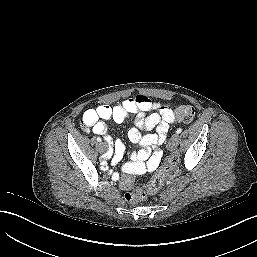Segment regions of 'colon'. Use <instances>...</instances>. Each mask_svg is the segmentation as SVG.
<instances>
[{
	"label": "colon",
	"instance_id": "5ec220e1",
	"mask_svg": "<svg viewBox=\"0 0 257 257\" xmlns=\"http://www.w3.org/2000/svg\"><path fill=\"white\" fill-rule=\"evenodd\" d=\"M175 114L179 122L190 123L195 117V109L190 105H178L175 108ZM177 163L178 159L174 156H170L161 169L152 177L149 183L146 186L144 184L136 185L132 193H127L125 195L126 200L140 201L145 198L146 191L151 193L159 191L162 188L165 179L168 177ZM131 183V178L129 176H125L123 179V184L129 186Z\"/></svg>",
	"mask_w": 257,
	"mask_h": 257
}]
</instances>
